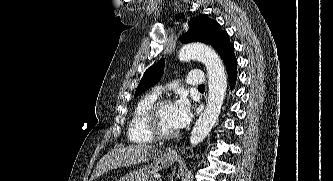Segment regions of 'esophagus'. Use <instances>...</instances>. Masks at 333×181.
Returning a JSON list of instances; mask_svg holds the SVG:
<instances>
[{
    "label": "esophagus",
    "mask_w": 333,
    "mask_h": 181,
    "mask_svg": "<svg viewBox=\"0 0 333 181\" xmlns=\"http://www.w3.org/2000/svg\"><path fill=\"white\" fill-rule=\"evenodd\" d=\"M171 153H172V154H176V151H175V150H172Z\"/></svg>",
    "instance_id": "1"
}]
</instances>
